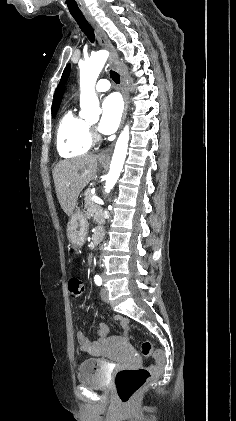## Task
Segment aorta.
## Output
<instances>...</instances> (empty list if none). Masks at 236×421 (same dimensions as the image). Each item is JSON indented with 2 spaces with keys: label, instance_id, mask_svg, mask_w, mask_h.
I'll list each match as a JSON object with an SVG mask.
<instances>
[{
  "label": "aorta",
  "instance_id": "1",
  "mask_svg": "<svg viewBox=\"0 0 236 421\" xmlns=\"http://www.w3.org/2000/svg\"><path fill=\"white\" fill-rule=\"evenodd\" d=\"M108 56V50H97V52H92L89 60H85L82 66H80L81 108L86 102H95L97 98L94 90L95 82ZM129 136V124H126L115 144L110 170L106 180L105 192H110L120 176L127 154Z\"/></svg>",
  "mask_w": 236,
  "mask_h": 421
}]
</instances>
